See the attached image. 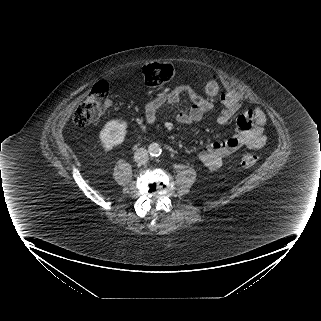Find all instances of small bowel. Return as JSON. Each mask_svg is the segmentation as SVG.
I'll return each instance as SVG.
<instances>
[{
	"mask_svg": "<svg viewBox=\"0 0 321 321\" xmlns=\"http://www.w3.org/2000/svg\"><path fill=\"white\" fill-rule=\"evenodd\" d=\"M184 96L190 99L192 106L188 112L175 113L174 119L178 123L198 122L213 108V102L208 97L187 85H178L168 93L152 98L146 103L144 111L146 122L154 124L162 108L177 104ZM221 105L222 109L217 122L227 124L242 109L243 101L239 94L226 92L222 95ZM265 123L266 115L260 108L255 107L242 111L237 118L235 133L226 140L211 142L198 150V160L207 168L215 170L222 165L225 157L242 146L252 150L261 149L266 144Z\"/></svg>",
	"mask_w": 321,
	"mask_h": 321,
	"instance_id": "obj_1",
	"label": "small bowel"
}]
</instances>
